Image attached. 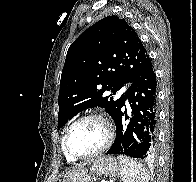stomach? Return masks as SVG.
Wrapping results in <instances>:
<instances>
[{
    "mask_svg": "<svg viewBox=\"0 0 196 182\" xmlns=\"http://www.w3.org/2000/svg\"><path fill=\"white\" fill-rule=\"evenodd\" d=\"M89 165V169L79 168L72 173L64 175L63 179L59 182H92L90 172L95 175L115 176L119 170L117 160L111 156L98 157Z\"/></svg>",
    "mask_w": 196,
    "mask_h": 182,
    "instance_id": "0dacf381",
    "label": "stomach"
}]
</instances>
